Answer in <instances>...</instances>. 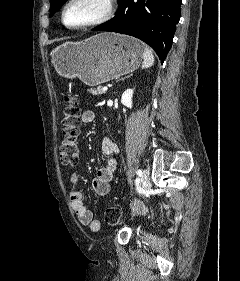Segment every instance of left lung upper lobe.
Segmentation results:
<instances>
[{
	"label": "left lung upper lobe",
	"mask_w": 240,
	"mask_h": 281,
	"mask_svg": "<svg viewBox=\"0 0 240 281\" xmlns=\"http://www.w3.org/2000/svg\"><path fill=\"white\" fill-rule=\"evenodd\" d=\"M67 0H50V17L57 12Z\"/></svg>",
	"instance_id": "left-lung-upper-lobe-1"
}]
</instances>
